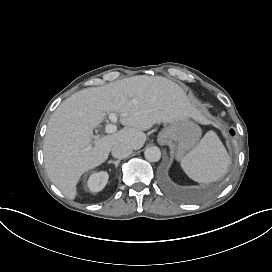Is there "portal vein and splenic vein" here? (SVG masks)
I'll return each mask as SVG.
<instances>
[{"instance_id": "obj_1", "label": "portal vein and splenic vein", "mask_w": 272, "mask_h": 272, "mask_svg": "<svg viewBox=\"0 0 272 272\" xmlns=\"http://www.w3.org/2000/svg\"><path fill=\"white\" fill-rule=\"evenodd\" d=\"M124 115L126 116L127 114H124ZM109 119H110V121H111L112 123L107 124V125L105 126V132H106L107 134L116 133L117 130H118V128H117V126H116L114 123H117V122H118V118H117V116H116L115 114H110V115H109ZM92 146H93V142L90 143L86 149L89 150L90 148H92Z\"/></svg>"}]
</instances>
